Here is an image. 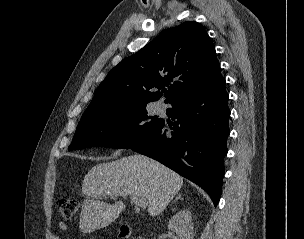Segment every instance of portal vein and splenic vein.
<instances>
[{
	"instance_id": "portal-vein-and-splenic-vein-1",
	"label": "portal vein and splenic vein",
	"mask_w": 304,
	"mask_h": 239,
	"mask_svg": "<svg viewBox=\"0 0 304 239\" xmlns=\"http://www.w3.org/2000/svg\"><path fill=\"white\" fill-rule=\"evenodd\" d=\"M131 202L134 203L139 208H146L147 206V200L144 198H140L137 196H130Z\"/></svg>"
}]
</instances>
